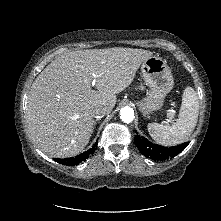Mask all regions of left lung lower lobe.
Instances as JSON below:
<instances>
[{
    "instance_id": "0a47b994",
    "label": "left lung lower lobe",
    "mask_w": 221,
    "mask_h": 221,
    "mask_svg": "<svg viewBox=\"0 0 221 221\" xmlns=\"http://www.w3.org/2000/svg\"><path fill=\"white\" fill-rule=\"evenodd\" d=\"M134 142L139 151H141L147 158L161 161L175 157L188 146V143L186 142L177 146L164 147L153 144L138 134L135 136Z\"/></svg>"
}]
</instances>
